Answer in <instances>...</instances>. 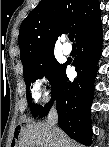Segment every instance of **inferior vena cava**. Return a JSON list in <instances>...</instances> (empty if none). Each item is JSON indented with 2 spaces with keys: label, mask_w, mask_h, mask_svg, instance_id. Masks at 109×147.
Wrapping results in <instances>:
<instances>
[{
  "label": "inferior vena cava",
  "mask_w": 109,
  "mask_h": 147,
  "mask_svg": "<svg viewBox=\"0 0 109 147\" xmlns=\"http://www.w3.org/2000/svg\"><path fill=\"white\" fill-rule=\"evenodd\" d=\"M58 122V114L55 108H52L51 111L48 114V118H47V125L51 130H55L56 129V125Z\"/></svg>",
  "instance_id": "602c4592"
}]
</instances>
